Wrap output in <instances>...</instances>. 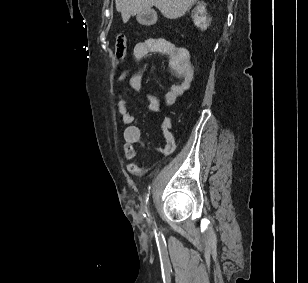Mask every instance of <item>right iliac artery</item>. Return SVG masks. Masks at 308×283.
Listing matches in <instances>:
<instances>
[{
  "label": "right iliac artery",
  "mask_w": 308,
  "mask_h": 283,
  "mask_svg": "<svg viewBox=\"0 0 308 283\" xmlns=\"http://www.w3.org/2000/svg\"><path fill=\"white\" fill-rule=\"evenodd\" d=\"M148 199H149V198H147V200H146V206H145V212H146V214H144V216H148L149 222H152V217H151V215H150L149 206H148Z\"/></svg>",
  "instance_id": "right-iliac-artery-1"
}]
</instances>
